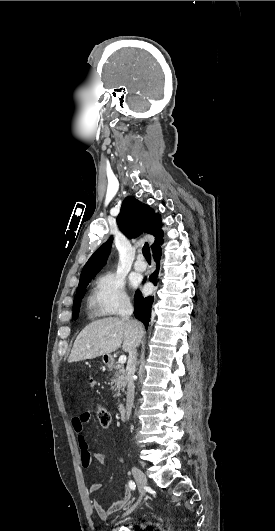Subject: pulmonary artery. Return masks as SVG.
<instances>
[{
  "instance_id": "e3ab8cb5",
  "label": "pulmonary artery",
  "mask_w": 275,
  "mask_h": 531,
  "mask_svg": "<svg viewBox=\"0 0 275 531\" xmlns=\"http://www.w3.org/2000/svg\"><path fill=\"white\" fill-rule=\"evenodd\" d=\"M147 264L144 261L143 253L140 251L137 255V260L134 262V269L137 271H145Z\"/></svg>"
}]
</instances>
